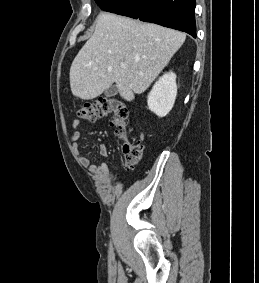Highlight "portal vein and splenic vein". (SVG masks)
I'll return each instance as SVG.
<instances>
[{
    "mask_svg": "<svg viewBox=\"0 0 259 283\" xmlns=\"http://www.w3.org/2000/svg\"><path fill=\"white\" fill-rule=\"evenodd\" d=\"M121 67L124 68V67H125V64H121Z\"/></svg>",
    "mask_w": 259,
    "mask_h": 283,
    "instance_id": "18ae733b",
    "label": "portal vein and splenic vein"
}]
</instances>
